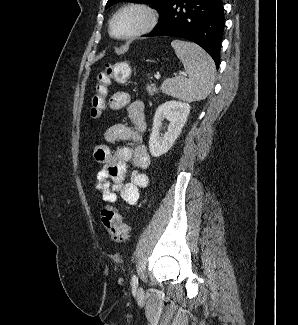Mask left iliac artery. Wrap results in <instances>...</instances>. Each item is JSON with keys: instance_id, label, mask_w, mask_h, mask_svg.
Returning <instances> with one entry per match:
<instances>
[{"instance_id": "1", "label": "left iliac artery", "mask_w": 298, "mask_h": 325, "mask_svg": "<svg viewBox=\"0 0 298 325\" xmlns=\"http://www.w3.org/2000/svg\"><path fill=\"white\" fill-rule=\"evenodd\" d=\"M131 285L133 287H137L138 286V277L136 275L132 276V281H131Z\"/></svg>"}]
</instances>
